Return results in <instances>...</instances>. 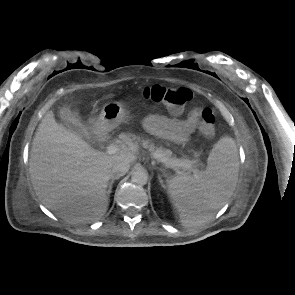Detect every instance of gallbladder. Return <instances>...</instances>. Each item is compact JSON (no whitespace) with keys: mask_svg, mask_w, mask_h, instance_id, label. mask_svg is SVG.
I'll use <instances>...</instances> for the list:
<instances>
[{"mask_svg":"<svg viewBox=\"0 0 295 295\" xmlns=\"http://www.w3.org/2000/svg\"><path fill=\"white\" fill-rule=\"evenodd\" d=\"M59 117L61 123L65 125L68 129L72 130L75 133L80 132L78 122L80 121V116L77 112H73L68 107H61L59 109Z\"/></svg>","mask_w":295,"mask_h":295,"instance_id":"bac80fb5","label":"gallbladder"}]
</instances>
